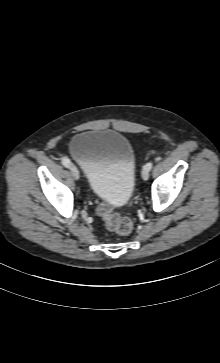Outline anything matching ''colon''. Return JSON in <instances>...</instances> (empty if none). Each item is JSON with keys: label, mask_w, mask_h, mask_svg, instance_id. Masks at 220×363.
Listing matches in <instances>:
<instances>
[{"label": "colon", "mask_w": 220, "mask_h": 363, "mask_svg": "<svg viewBox=\"0 0 220 363\" xmlns=\"http://www.w3.org/2000/svg\"><path fill=\"white\" fill-rule=\"evenodd\" d=\"M97 212L110 230L120 235H127L132 232L133 221L129 217L113 211L107 204L100 203Z\"/></svg>", "instance_id": "colon-1"}]
</instances>
